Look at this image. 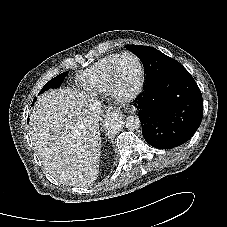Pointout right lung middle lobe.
I'll use <instances>...</instances> for the list:
<instances>
[{
  "mask_svg": "<svg viewBox=\"0 0 227 227\" xmlns=\"http://www.w3.org/2000/svg\"><path fill=\"white\" fill-rule=\"evenodd\" d=\"M65 75H66V72L61 73L58 76L51 79L50 81H48L44 85V87L42 88V90L40 91L39 94L43 93L44 91H46L48 89L58 88L61 85L62 80L64 79Z\"/></svg>",
  "mask_w": 227,
  "mask_h": 227,
  "instance_id": "obj_1",
  "label": "right lung middle lobe"
}]
</instances>
